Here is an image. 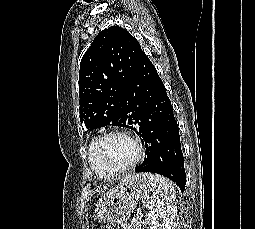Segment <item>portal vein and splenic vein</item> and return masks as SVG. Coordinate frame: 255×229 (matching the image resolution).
Returning a JSON list of instances; mask_svg holds the SVG:
<instances>
[{"instance_id": "portal-vein-and-splenic-vein-1", "label": "portal vein and splenic vein", "mask_w": 255, "mask_h": 229, "mask_svg": "<svg viewBox=\"0 0 255 229\" xmlns=\"http://www.w3.org/2000/svg\"><path fill=\"white\" fill-rule=\"evenodd\" d=\"M137 212H138L139 214H141V213H142V210H141V209H137Z\"/></svg>"}]
</instances>
